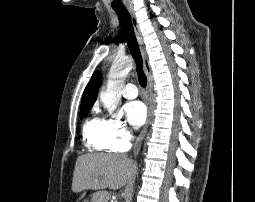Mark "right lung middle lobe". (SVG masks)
Wrapping results in <instances>:
<instances>
[{
    "instance_id": "1",
    "label": "right lung middle lobe",
    "mask_w": 255,
    "mask_h": 202,
    "mask_svg": "<svg viewBox=\"0 0 255 202\" xmlns=\"http://www.w3.org/2000/svg\"><path fill=\"white\" fill-rule=\"evenodd\" d=\"M91 106H87V107H81L80 110V117H86V115L88 114L89 110H90Z\"/></svg>"
}]
</instances>
